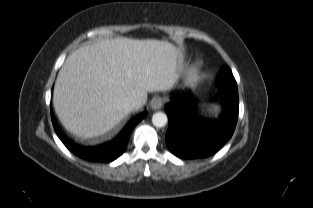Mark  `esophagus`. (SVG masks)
Masks as SVG:
<instances>
[{"mask_svg":"<svg viewBox=\"0 0 313 208\" xmlns=\"http://www.w3.org/2000/svg\"><path fill=\"white\" fill-rule=\"evenodd\" d=\"M163 98L161 97H155L151 101V108L154 110L160 109L163 106Z\"/></svg>","mask_w":313,"mask_h":208,"instance_id":"obj_1","label":"esophagus"}]
</instances>
